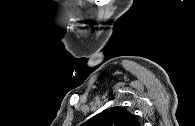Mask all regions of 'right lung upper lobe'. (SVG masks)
Listing matches in <instances>:
<instances>
[{
  "label": "right lung upper lobe",
  "mask_w": 195,
  "mask_h": 126,
  "mask_svg": "<svg viewBox=\"0 0 195 126\" xmlns=\"http://www.w3.org/2000/svg\"><path fill=\"white\" fill-rule=\"evenodd\" d=\"M84 126H141L137 118L123 107H111L95 115Z\"/></svg>",
  "instance_id": "right-lung-upper-lobe-1"
}]
</instances>
